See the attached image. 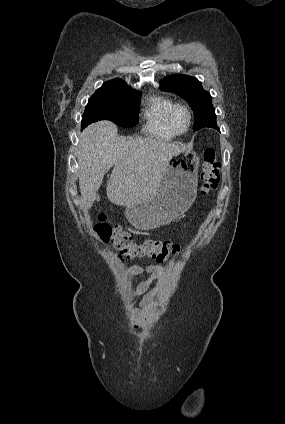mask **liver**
<instances>
[{
	"label": "liver",
	"mask_w": 285,
	"mask_h": 424,
	"mask_svg": "<svg viewBox=\"0 0 285 424\" xmlns=\"http://www.w3.org/2000/svg\"><path fill=\"white\" fill-rule=\"evenodd\" d=\"M185 149L176 142L120 137L117 126L109 121L89 125L79 136L77 149L83 209L91 208L104 175L113 166L106 187L109 201L120 206L145 201L160 185L171 158Z\"/></svg>",
	"instance_id": "6515ba94"
}]
</instances>
